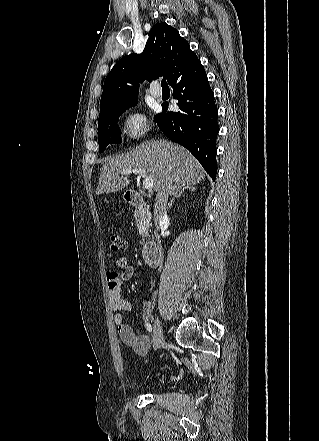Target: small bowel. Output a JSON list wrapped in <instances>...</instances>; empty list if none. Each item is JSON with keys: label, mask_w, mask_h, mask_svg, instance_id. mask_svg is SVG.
Returning a JSON list of instances; mask_svg holds the SVG:
<instances>
[{"label": "small bowel", "mask_w": 319, "mask_h": 441, "mask_svg": "<svg viewBox=\"0 0 319 441\" xmlns=\"http://www.w3.org/2000/svg\"><path fill=\"white\" fill-rule=\"evenodd\" d=\"M119 271H110L106 274L109 304L114 314V323L117 328L121 341L134 349L137 354H146L151 345L150 338L147 335H138L131 326L126 324L120 311H126L130 308V303L124 300L120 295L122 283L131 279L134 274V267L130 265L126 258H120L117 261ZM151 300H146L143 304V318L148 320L151 315Z\"/></svg>", "instance_id": "small-bowel-1"}]
</instances>
